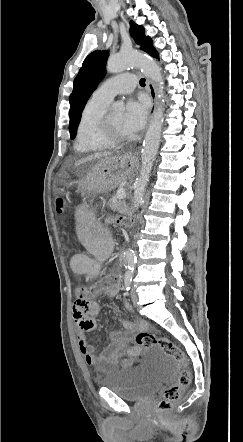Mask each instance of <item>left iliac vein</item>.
<instances>
[{
  "mask_svg": "<svg viewBox=\"0 0 243 442\" xmlns=\"http://www.w3.org/2000/svg\"><path fill=\"white\" fill-rule=\"evenodd\" d=\"M130 296H131V300H132L133 304H136L137 303V293H136V291L132 290L130 292Z\"/></svg>",
  "mask_w": 243,
  "mask_h": 442,
  "instance_id": "1",
  "label": "left iliac vein"
}]
</instances>
